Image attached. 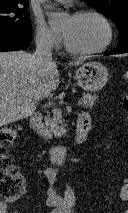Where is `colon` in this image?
Returning a JSON list of instances; mask_svg holds the SVG:
<instances>
[{
  "label": "colon",
  "mask_w": 128,
  "mask_h": 213,
  "mask_svg": "<svg viewBox=\"0 0 128 213\" xmlns=\"http://www.w3.org/2000/svg\"><path fill=\"white\" fill-rule=\"evenodd\" d=\"M124 80L128 84V71L124 73ZM123 107L128 111V93L124 97ZM19 131V127L12 125L0 129V201L3 202H14L25 192V179L16 167L13 166L7 152L8 148L17 138ZM121 197L123 200L128 201V178L124 180ZM75 201L74 189L67 187L63 196V208H74Z\"/></svg>",
  "instance_id": "5ec220e1"
}]
</instances>
